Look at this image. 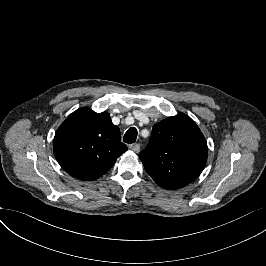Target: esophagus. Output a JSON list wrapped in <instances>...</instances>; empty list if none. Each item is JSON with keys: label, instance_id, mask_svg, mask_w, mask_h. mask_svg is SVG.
Returning a JSON list of instances; mask_svg holds the SVG:
<instances>
[{"label": "esophagus", "instance_id": "obj_1", "mask_svg": "<svg viewBox=\"0 0 266 266\" xmlns=\"http://www.w3.org/2000/svg\"><path fill=\"white\" fill-rule=\"evenodd\" d=\"M128 148H129L131 151L135 152V153H138V152L140 151V145H139V144H130V145L128 146Z\"/></svg>", "mask_w": 266, "mask_h": 266}]
</instances>
